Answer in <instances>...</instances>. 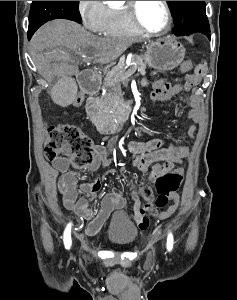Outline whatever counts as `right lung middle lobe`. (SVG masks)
<instances>
[{"instance_id": "1", "label": "right lung middle lobe", "mask_w": 237, "mask_h": 300, "mask_svg": "<svg viewBox=\"0 0 237 300\" xmlns=\"http://www.w3.org/2000/svg\"><path fill=\"white\" fill-rule=\"evenodd\" d=\"M79 1H33L29 14V30L36 31L47 21L63 18L82 22Z\"/></svg>"}]
</instances>
